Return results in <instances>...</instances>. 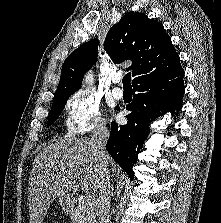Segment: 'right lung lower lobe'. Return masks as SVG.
<instances>
[{
  "label": "right lung lower lobe",
  "mask_w": 221,
  "mask_h": 223,
  "mask_svg": "<svg viewBox=\"0 0 221 223\" xmlns=\"http://www.w3.org/2000/svg\"><path fill=\"white\" fill-rule=\"evenodd\" d=\"M184 70L181 65L161 77L139 80L133 84L138 92L127 110V124L111 123L110 137L106 149L112 158L133 178L132 168L148 135L149 124L161 114L177 115L182 109ZM119 110V108H118Z\"/></svg>",
  "instance_id": "right-lung-lower-lobe-1"
}]
</instances>
